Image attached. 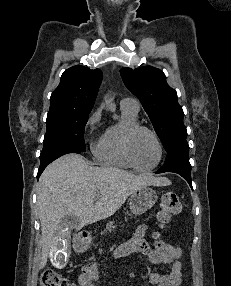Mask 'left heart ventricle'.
I'll return each instance as SVG.
<instances>
[{"instance_id":"b2bd125f","label":"left heart ventricle","mask_w":231,"mask_h":286,"mask_svg":"<svg viewBox=\"0 0 231 286\" xmlns=\"http://www.w3.org/2000/svg\"><path fill=\"white\" fill-rule=\"evenodd\" d=\"M132 155L139 167H151L158 159V148L153 137L145 131L137 133L132 140Z\"/></svg>"}]
</instances>
